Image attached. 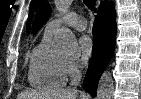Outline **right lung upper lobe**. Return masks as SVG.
<instances>
[{"instance_id":"right-lung-upper-lobe-1","label":"right lung upper lobe","mask_w":141,"mask_h":99,"mask_svg":"<svg viewBox=\"0 0 141 99\" xmlns=\"http://www.w3.org/2000/svg\"><path fill=\"white\" fill-rule=\"evenodd\" d=\"M51 14V7L46 0H40L37 8L36 18L33 23V33H36L48 20Z\"/></svg>"}]
</instances>
